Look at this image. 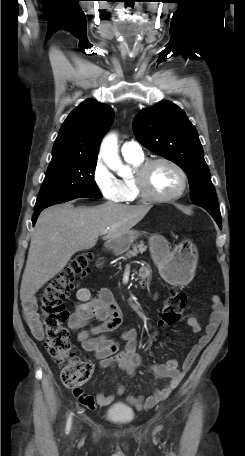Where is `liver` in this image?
Returning a JSON list of instances; mask_svg holds the SVG:
<instances>
[{"label": "liver", "instance_id": "liver-1", "mask_svg": "<svg viewBox=\"0 0 245 456\" xmlns=\"http://www.w3.org/2000/svg\"><path fill=\"white\" fill-rule=\"evenodd\" d=\"M151 205H121L107 202L95 207L71 203L51 206L39 215L31 238L20 298L27 301L56 276L78 251L93 248L101 232L113 240L131 230L151 209Z\"/></svg>", "mask_w": 245, "mask_h": 456}]
</instances>
